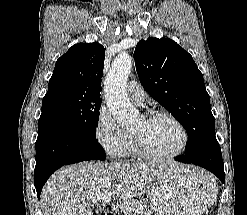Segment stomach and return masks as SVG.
I'll use <instances>...</instances> for the list:
<instances>
[{
  "label": "stomach",
  "mask_w": 247,
  "mask_h": 215,
  "mask_svg": "<svg viewBox=\"0 0 247 215\" xmlns=\"http://www.w3.org/2000/svg\"><path fill=\"white\" fill-rule=\"evenodd\" d=\"M217 192L205 171L183 165L171 168L151 188L149 202L156 215H202Z\"/></svg>",
  "instance_id": "obj_1"
}]
</instances>
